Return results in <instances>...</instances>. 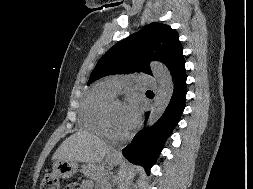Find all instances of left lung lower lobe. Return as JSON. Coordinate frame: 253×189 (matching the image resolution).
Here are the masks:
<instances>
[{
    "label": "left lung lower lobe",
    "instance_id": "1",
    "mask_svg": "<svg viewBox=\"0 0 253 189\" xmlns=\"http://www.w3.org/2000/svg\"><path fill=\"white\" fill-rule=\"evenodd\" d=\"M172 77L174 91L162 117L152 127L139 132L131 144L122 150L126 158L135 164L142 165L148 174L185 108L187 79L185 61L176 68ZM148 115L149 113L146 115V120Z\"/></svg>",
    "mask_w": 253,
    "mask_h": 189
}]
</instances>
